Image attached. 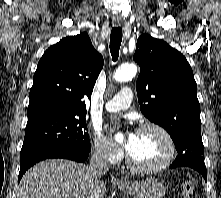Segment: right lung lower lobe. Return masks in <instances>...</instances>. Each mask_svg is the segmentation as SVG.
Listing matches in <instances>:
<instances>
[{"label":"right lung lower lobe","mask_w":221,"mask_h":198,"mask_svg":"<svg viewBox=\"0 0 221 198\" xmlns=\"http://www.w3.org/2000/svg\"><path fill=\"white\" fill-rule=\"evenodd\" d=\"M89 156V151L68 145H54L39 149L20 159L19 181L28 168L39 161L50 158H64L77 162H84Z\"/></svg>","instance_id":"98d812e1"}]
</instances>
